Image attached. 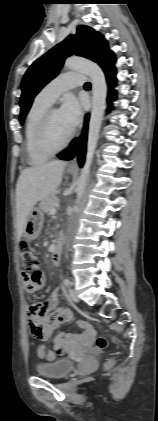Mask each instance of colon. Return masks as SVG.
Here are the masks:
<instances>
[{
	"label": "colon",
	"instance_id": "1",
	"mask_svg": "<svg viewBox=\"0 0 158 421\" xmlns=\"http://www.w3.org/2000/svg\"><path fill=\"white\" fill-rule=\"evenodd\" d=\"M20 260H21V268L25 275L28 277L26 278L25 286L28 290H36L38 283L35 279L31 278L37 271L39 267V258L36 250L30 245V243L26 240H21L18 245ZM62 317L61 314H59ZM107 345V341L103 337H99L96 340V347L98 349H103ZM38 355L41 359L45 361H53L56 359V354L46 348L40 347L38 349Z\"/></svg>",
	"mask_w": 158,
	"mask_h": 421
}]
</instances>
